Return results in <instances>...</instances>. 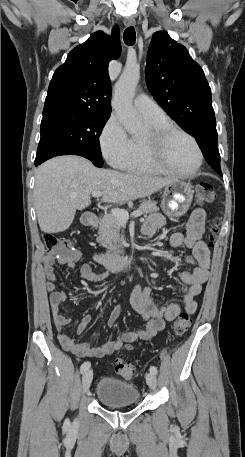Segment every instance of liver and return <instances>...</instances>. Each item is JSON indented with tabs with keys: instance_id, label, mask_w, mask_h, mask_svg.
I'll list each match as a JSON object with an SVG mask.
<instances>
[{
	"instance_id": "1",
	"label": "liver",
	"mask_w": 245,
	"mask_h": 457,
	"mask_svg": "<svg viewBox=\"0 0 245 457\" xmlns=\"http://www.w3.org/2000/svg\"><path fill=\"white\" fill-rule=\"evenodd\" d=\"M35 178V208L44 233H61L69 229L76 208L82 210L90 204L93 190L105 192L103 202H122L150 196L176 180L144 172L96 168L82 156L50 158L38 166Z\"/></svg>"
}]
</instances>
